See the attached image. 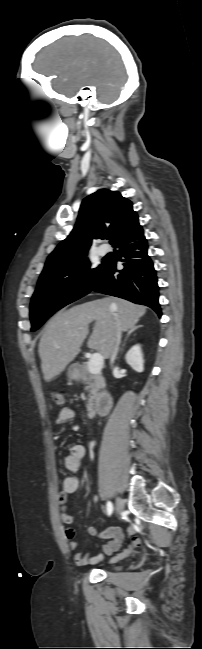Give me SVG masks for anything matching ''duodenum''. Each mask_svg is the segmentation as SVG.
<instances>
[{"label": "duodenum", "instance_id": "duodenum-1", "mask_svg": "<svg viewBox=\"0 0 202 649\" xmlns=\"http://www.w3.org/2000/svg\"><path fill=\"white\" fill-rule=\"evenodd\" d=\"M111 409V399L106 394H99L95 401L94 413L106 415Z\"/></svg>", "mask_w": 202, "mask_h": 649}]
</instances>
